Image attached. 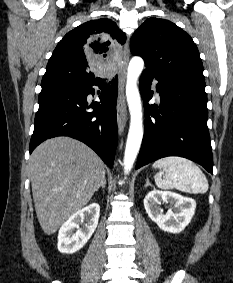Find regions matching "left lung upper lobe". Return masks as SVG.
Here are the masks:
<instances>
[{
  "mask_svg": "<svg viewBox=\"0 0 233 283\" xmlns=\"http://www.w3.org/2000/svg\"><path fill=\"white\" fill-rule=\"evenodd\" d=\"M130 50L144 59L145 72L205 83L203 64L195 43L171 21L146 20L133 34Z\"/></svg>",
  "mask_w": 233,
  "mask_h": 283,
  "instance_id": "obj_1",
  "label": "left lung upper lobe"
}]
</instances>
